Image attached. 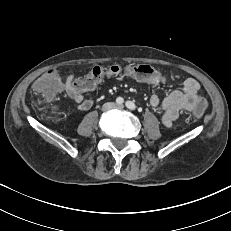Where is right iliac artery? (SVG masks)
I'll return each instance as SVG.
<instances>
[{
  "label": "right iliac artery",
  "instance_id": "obj_1",
  "mask_svg": "<svg viewBox=\"0 0 231 231\" xmlns=\"http://www.w3.org/2000/svg\"><path fill=\"white\" fill-rule=\"evenodd\" d=\"M116 102H117V104H123L124 99H123L122 97H118V98L116 99Z\"/></svg>",
  "mask_w": 231,
  "mask_h": 231
}]
</instances>
